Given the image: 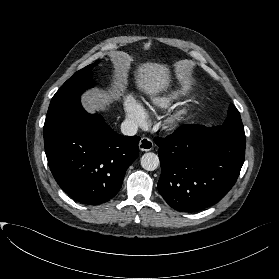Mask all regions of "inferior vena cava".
<instances>
[{"mask_svg":"<svg viewBox=\"0 0 279 279\" xmlns=\"http://www.w3.org/2000/svg\"><path fill=\"white\" fill-rule=\"evenodd\" d=\"M137 131H138V126L134 121L130 119H126L122 122L121 132L124 135L133 136L137 133Z\"/></svg>","mask_w":279,"mask_h":279,"instance_id":"obj_1","label":"inferior vena cava"}]
</instances>
